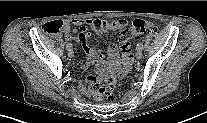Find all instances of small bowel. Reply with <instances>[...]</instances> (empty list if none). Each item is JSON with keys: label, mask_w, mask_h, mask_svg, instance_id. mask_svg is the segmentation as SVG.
<instances>
[{"label": "small bowel", "mask_w": 207, "mask_h": 123, "mask_svg": "<svg viewBox=\"0 0 207 123\" xmlns=\"http://www.w3.org/2000/svg\"><path fill=\"white\" fill-rule=\"evenodd\" d=\"M63 27L61 30V34L66 38L71 39L72 37L69 35L71 31V25L80 26L79 32L77 36L74 38L80 44H82L86 55L88 57V61L82 64V68L86 69L92 62L97 61L102 63L104 60L103 54L97 50L94 46H90L86 43V39L88 37V32L86 28V22L78 19L74 20H65L62 21ZM123 26L122 21H114L110 25V30L116 31ZM108 61L110 67L117 71L120 75H124L132 65V54H131V46L129 44L126 45V48L123 50V60L122 63H119V55L117 48L114 44H111L108 48ZM81 90L85 93L90 92V86L88 84H84L81 86Z\"/></svg>", "instance_id": "small-bowel-1"}]
</instances>
